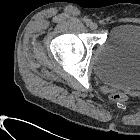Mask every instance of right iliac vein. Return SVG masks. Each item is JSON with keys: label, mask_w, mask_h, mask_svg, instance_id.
<instances>
[{"label": "right iliac vein", "mask_w": 140, "mask_h": 140, "mask_svg": "<svg viewBox=\"0 0 140 140\" xmlns=\"http://www.w3.org/2000/svg\"><path fill=\"white\" fill-rule=\"evenodd\" d=\"M90 28H91L92 30H97V28H98L97 23L92 22V24L90 25Z\"/></svg>", "instance_id": "right-iliac-vein-1"}]
</instances>
